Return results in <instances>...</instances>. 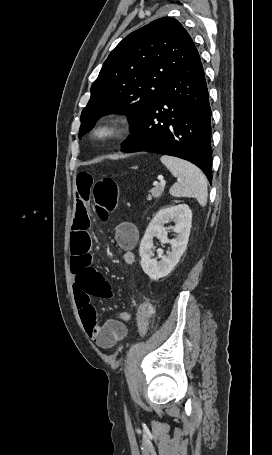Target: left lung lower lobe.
<instances>
[{
	"label": "left lung lower lobe",
	"mask_w": 272,
	"mask_h": 455,
	"mask_svg": "<svg viewBox=\"0 0 272 455\" xmlns=\"http://www.w3.org/2000/svg\"><path fill=\"white\" fill-rule=\"evenodd\" d=\"M120 151H148L188 160L211 183V109L199 55L168 80Z\"/></svg>",
	"instance_id": "left-lung-lower-lobe-1"
}]
</instances>
